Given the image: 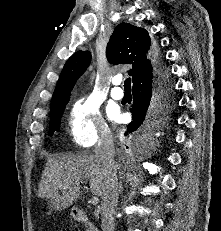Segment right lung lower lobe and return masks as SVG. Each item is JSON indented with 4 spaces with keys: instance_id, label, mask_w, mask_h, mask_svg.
Wrapping results in <instances>:
<instances>
[{
    "instance_id": "obj_1",
    "label": "right lung lower lobe",
    "mask_w": 221,
    "mask_h": 231,
    "mask_svg": "<svg viewBox=\"0 0 221 231\" xmlns=\"http://www.w3.org/2000/svg\"><path fill=\"white\" fill-rule=\"evenodd\" d=\"M157 72L154 79L144 85L138 86L132 90V122L127 126L126 133H132L140 130L147 119L148 113L156 103H163L172 99V82L168 65L162 56L156 58ZM140 141V135H138ZM149 143H143V146Z\"/></svg>"
}]
</instances>
